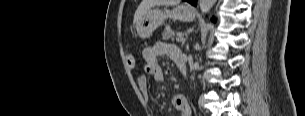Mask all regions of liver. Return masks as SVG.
Wrapping results in <instances>:
<instances>
[{"mask_svg":"<svg viewBox=\"0 0 305 116\" xmlns=\"http://www.w3.org/2000/svg\"><path fill=\"white\" fill-rule=\"evenodd\" d=\"M179 3L180 0H142L135 12L133 23L137 24L145 12L154 6H174L178 5Z\"/></svg>","mask_w":305,"mask_h":116,"instance_id":"obj_1","label":"liver"}]
</instances>
